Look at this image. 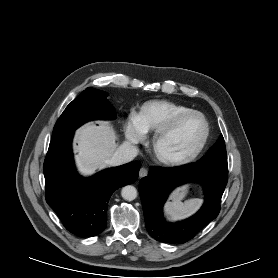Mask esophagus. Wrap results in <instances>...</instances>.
Segmentation results:
<instances>
[{
    "label": "esophagus",
    "instance_id": "1",
    "mask_svg": "<svg viewBox=\"0 0 278 278\" xmlns=\"http://www.w3.org/2000/svg\"><path fill=\"white\" fill-rule=\"evenodd\" d=\"M148 174V170L146 168H141L140 171H139V178H143V177H146Z\"/></svg>",
    "mask_w": 278,
    "mask_h": 278
}]
</instances>
